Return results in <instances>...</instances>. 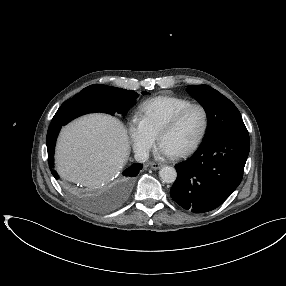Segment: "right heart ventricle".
<instances>
[{"label": "right heart ventricle", "mask_w": 286, "mask_h": 286, "mask_svg": "<svg viewBox=\"0 0 286 286\" xmlns=\"http://www.w3.org/2000/svg\"><path fill=\"white\" fill-rule=\"evenodd\" d=\"M191 100L171 95L156 96L145 101L139 110L140 118L147 128L157 135L161 126L177 111L191 104Z\"/></svg>", "instance_id": "right-heart-ventricle-1"}]
</instances>
